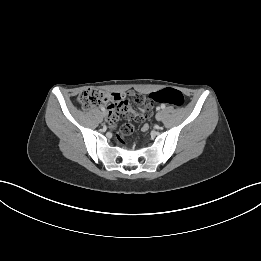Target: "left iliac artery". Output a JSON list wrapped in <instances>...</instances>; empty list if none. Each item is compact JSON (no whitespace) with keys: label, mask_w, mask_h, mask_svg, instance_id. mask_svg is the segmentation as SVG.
Here are the masks:
<instances>
[{"label":"left iliac artery","mask_w":261,"mask_h":261,"mask_svg":"<svg viewBox=\"0 0 261 261\" xmlns=\"http://www.w3.org/2000/svg\"><path fill=\"white\" fill-rule=\"evenodd\" d=\"M166 106H165V104H162L161 105V109H164Z\"/></svg>","instance_id":"1"}]
</instances>
